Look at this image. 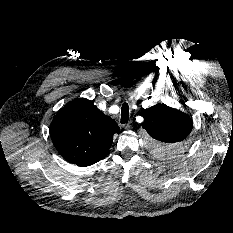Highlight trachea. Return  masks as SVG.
I'll return each instance as SVG.
<instances>
[{
	"label": "trachea",
	"mask_w": 233,
	"mask_h": 233,
	"mask_svg": "<svg viewBox=\"0 0 233 233\" xmlns=\"http://www.w3.org/2000/svg\"><path fill=\"white\" fill-rule=\"evenodd\" d=\"M129 120V106L127 103H123L122 108H121V120L120 122L122 124L128 123Z\"/></svg>",
	"instance_id": "1"
}]
</instances>
